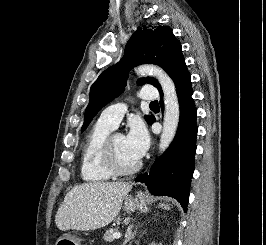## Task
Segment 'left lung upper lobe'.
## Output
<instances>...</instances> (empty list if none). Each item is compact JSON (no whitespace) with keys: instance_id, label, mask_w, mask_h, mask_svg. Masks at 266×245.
<instances>
[{"instance_id":"left-lung-upper-lobe-1","label":"left lung upper lobe","mask_w":266,"mask_h":245,"mask_svg":"<svg viewBox=\"0 0 266 245\" xmlns=\"http://www.w3.org/2000/svg\"><path fill=\"white\" fill-rule=\"evenodd\" d=\"M184 59L180 42L168 26L138 28L125 47V54L115 65L103 71L90 89V102L85 110L81 131H84L96 113L115 97L120 95L126 86L127 74L134 66L152 63L161 66L168 75L175 65ZM152 84L161 89L154 78H142L139 85ZM154 116H145L148 124Z\"/></svg>"}]
</instances>
